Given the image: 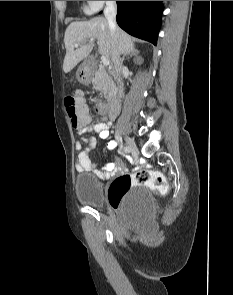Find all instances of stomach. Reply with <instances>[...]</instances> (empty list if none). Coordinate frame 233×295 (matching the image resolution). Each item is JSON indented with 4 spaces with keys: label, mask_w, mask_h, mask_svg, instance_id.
<instances>
[{
    "label": "stomach",
    "mask_w": 233,
    "mask_h": 295,
    "mask_svg": "<svg viewBox=\"0 0 233 295\" xmlns=\"http://www.w3.org/2000/svg\"><path fill=\"white\" fill-rule=\"evenodd\" d=\"M77 79L79 82L86 84L92 80V72L87 64V62L83 63L77 70Z\"/></svg>",
    "instance_id": "obj_1"
}]
</instances>
